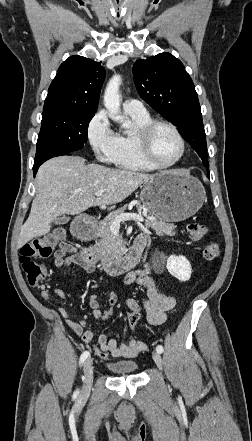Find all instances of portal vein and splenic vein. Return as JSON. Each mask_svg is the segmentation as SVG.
Returning a JSON list of instances; mask_svg holds the SVG:
<instances>
[{
	"mask_svg": "<svg viewBox=\"0 0 252 441\" xmlns=\"http://www.w3.org/2000/svg\"><path fill=\"white\" fill-rule=\"evenodd\" d=\"M103 190H99L95 192V196H101L103 194ZM154 219V218H152ZM129 220H134L136 222H143L144 218L138 214H134V213H123L119 216H117L113 221H112V226L113 227H117L120 226V222L122 221H129Z\"/></svg>",
	"mask_w": 252,
	"mask_h": 441,
	"instance_id": "1",
	"label": "portal vein and splenic vein"
}]
</instances>
